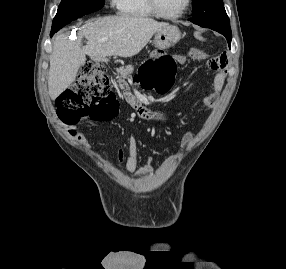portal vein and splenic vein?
Masks as SVG:
<instances>
[{"label":"portal vein and splenic vein","mask_w":286,"mask_h":269,"mask_svg":"<svg viewBox=\"0 0 286 269\" xmlns=\"http://www.w3.org/2000/svg\"><path fill=\"white\" fill-rule=\"evenodd\" d=\"M107 41V38H103L100 40V42H106Z\"/></svg>","instance_id":"obj_1"}]
</instances>
